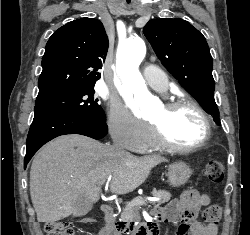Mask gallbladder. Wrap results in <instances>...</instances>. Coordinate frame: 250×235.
Returning a JSON list of instances; mask_svg holds the SVG:
<instances>
[{"label": "gallbladder", "instance_id": "obj_1", "mask_svg": "<svg viewBox=\"0 0 250 235\" xmlns=\"http://www.w3.org/2000/svg\"><path fill=\"white\" fill-rule=\"evenodd\" d=\"M92 208L91 202L85 197H79L73 205V216L81 217L86 215Z\"/></svg>", "mask_w": 250, "mask_h": 235}]
</instances>
